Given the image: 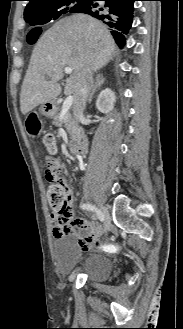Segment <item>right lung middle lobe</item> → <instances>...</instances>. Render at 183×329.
Here are the masks:
<instances>
[{"instance_id": "dd1d6c3e", "label": "right lung middle lobe", "mask_w": 183, "mask_h": 329, "mask_svg": "<svg viewBox=\"0 0 183 329\" xmlns=\"http://www.w3.org/2000/svg\"><path fill=\"white\" fill-rule=\"evenodd\" d=\"M83 0H64L52 5L51 9L44 15L38 17L25 18L26 22H29L32 26L43 25L53 19H57L62 14L72 13L81 7ZM41 33V28L37 27L33 30V36H37Z\"/></svg>"}]
</instances>
